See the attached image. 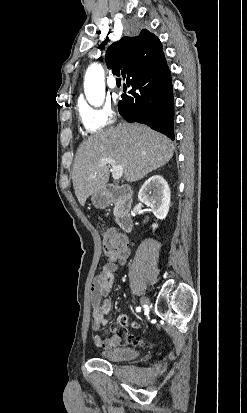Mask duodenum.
I'll return each mask as SVG.
<instances>
[{
	"mask_svg": "<svg viewBox=\"0 0 247 413\" xmlns=\"http://www.w3.org/2000/svg\"><path fill=\"white\" fill-rule=\"evenodd\" d=\"M106 198L115 203V216L119 227L130 232L133 228V219L130 215L132 207V191L128 186L107 185Z\"/></svg>",
	"mask_w": 247,
	"mask_h": 413,
	"instance_id": "obj_1",
	"label": "duodenum"
}]
</instances>
